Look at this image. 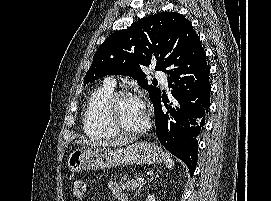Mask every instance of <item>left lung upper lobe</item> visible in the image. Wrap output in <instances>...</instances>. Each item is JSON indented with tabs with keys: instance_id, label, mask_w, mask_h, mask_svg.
I'll return each instance as SVG.
<instances>
[{
	"instance_id": "5c2ea615",
	"label": "left lung upper lobe",
	"mask_w": 271,
	"mask_h": 201,
	"mask_svg": "<svg viewBox=\"0 0 271 201\" xmlns=\"http://www.w3.org/2000/svg\"><path fill=\"white\" fill-rule=\"evenodd\" d=\"M197 36L191 23L175 12H162L139 19L101 44L85 75L84 85L107 75H127L149 92L153 103L160 90L148 84L141 66L149 65L154 57L157 60L155 70L166 72L177 42Z\"/></svg>"
}]
</instances>
